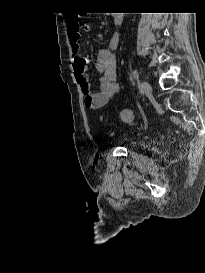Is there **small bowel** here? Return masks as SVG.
Returning <instances> with one entry per match:
<instances>
[{
	"label": "small bowel",
	"mask_w": 205,
	"mask_h": 273,
	"mask_svg": "<svg viewBox=\"0 0 205 273\" xmlns=\"http://www.w3.org/2000/svg\"><path fill=\"white\" fill-rule=\"evenodd\" d=\"M78 22L81 21L72 19L67 23L69 43L74 55V76L84 95L85 106L97 110L103 108L119 92L117 61L113 50L119 45L120 39L117 35L113 36L107 47L100 48L97 51L96 69L100 73L99 89L92 92L86 74V57L82 53L79 43L81 31L87 30L89 27L87 24H83L81 28L77 29L75 24Z\"/></svg>",
	"instance_id": "c3829d8e"
}]
</instances>
